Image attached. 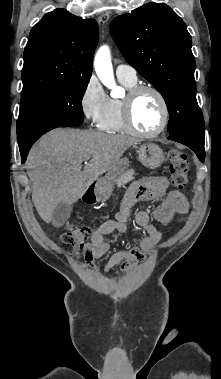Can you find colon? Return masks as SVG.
<instances>
[{
    "label": "colon",
    "mask_w": 221,
    "mask_h": 379,
    "mask_svg": "<svg viewBox=\"0 0 221 379\" xmlns=\"http://www.w3.org/2000/svg\"><path fill=\"white\" fill-rule=\"evenodd\" d=\"M171 172V185L176 189L184 188L188 183L189 161L185 153L173 149L168 154ZM90 230L84 226L69 225L60 236L62 243L74 248H87Z\"/></svg>",
    "instance_id": "1"
}]
</instances>
